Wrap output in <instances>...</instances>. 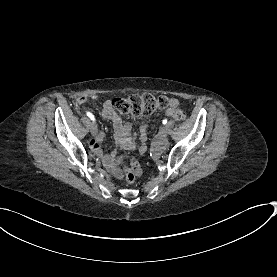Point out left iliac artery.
<instances>
[{
  "label": "left iliac artery",
  "instance_id": "44dca946",
  "mask_svg": "<svg viewBox=\"0 0 277 277\" xmlns=\"http://www.w3.org/2000/svg\"><path fill=\"white\" fill-rule=\"evenodd\" d=\"M162 123L165 125L167 123V119H164Z\"/></svg>",
  "mask_w": 277,
  "mask_h": 277
}]
</instances>
